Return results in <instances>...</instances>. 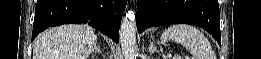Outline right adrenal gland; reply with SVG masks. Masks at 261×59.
Returning <instances> with one entry per match:
<instances>
[{"mask_svg":"<svg viewBox=\"0 0 261 59\" xmlns=\"http://www.w3.org/2000/svg\"><path fill=\"white\" fill-rule=\"evenodd\" d=\"M94 51L102 54V51L100 50L99 46L97 45V41L94 43L93 53H94Z\"/></svg>","mask_w":261,"mask_h":59,"instance_id":"2a0ac1e0","label":"right adrenal gland"}]
</instances>
